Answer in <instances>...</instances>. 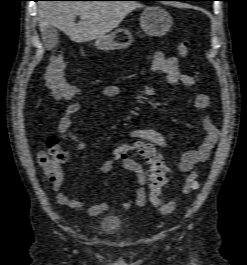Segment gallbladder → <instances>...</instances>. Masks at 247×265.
Listing matches in <instances>:
<instances>
[{"instance_id": "gallbladder-1", "label": "gallbladder", "mask_w": 247, "mask_h": 265, "mask_svg": "<svg viewBox=\"0 0 247 265\" xmlns=\"http://www.w3.org/2000/svg\"><path fill=\"white\" fill-rule=\"evenodd\" d=\"M42 41L46 49H53L59 40V33L56 27L46 26L42 31Z\"/></svg>"}]
</instances>
